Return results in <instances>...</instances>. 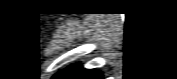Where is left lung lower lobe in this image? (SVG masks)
Here are the masks:
<instances>
[{
	"label": "left lung lower lobe",
	"instance_id": "1",
	"mask_svg": "<svg viewBox=\"0 0 177 79\" xmlns=\"http://www.w3.org/2000/svg\"><path fill=\"white\" fill-rule=\"evenodd\" d=\"M55 79H101L102 74L95 70H87L75 64L54 76Z\"/></svg>",
	"mask_w": 177,
	"mask_h": 79
}]
</instances>
